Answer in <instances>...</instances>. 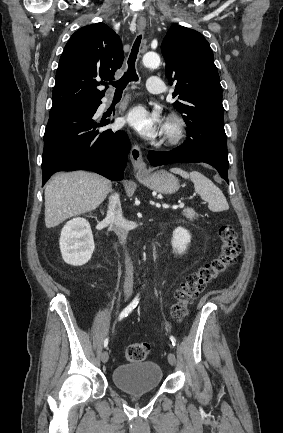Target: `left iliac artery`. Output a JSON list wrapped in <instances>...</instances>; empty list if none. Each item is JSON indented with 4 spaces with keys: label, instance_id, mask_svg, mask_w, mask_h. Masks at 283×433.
I'll use <instances>...</instances> for the list:
<instances>
[{
    "label": "left iliac artery",
    "instance_id": "1",
    "mask_svg": "<svg viewBox=\"0 0 283 433\" xmlns=\"http://www.w3.org/2000/svg\"><path fill=\"white\" fill-rule=\"evenodd\" d=\"M170 340L172 342V345L175 346L176 345V339L173 336H170Z\"/></svg>",
    "mask_w": 283,
    "mask_h": 433
}]
</instances>
